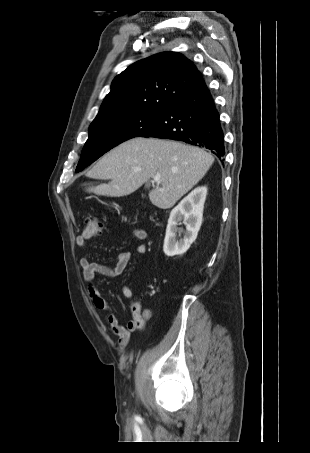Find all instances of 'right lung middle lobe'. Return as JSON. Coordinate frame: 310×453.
Instances as JSON below:
<instances>
[{
  "mask_svg": "<svg viewBox=\"0 0 310 453\" xmlns=\"http://www.w3.org/2000/svg\"><path fill=\"white\" fill-rule=\"evenodd\" d=\"M162 114L161 112H122L95 119L89 127L76 172L83 170L118 144L139 136Z\"/></svg>",
  "mask_w": 310,
  "mask_h": 453,
  "instance_id": "1",
  "label": "right lung middle lobe"
}]
</instances>
